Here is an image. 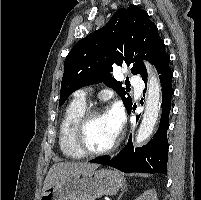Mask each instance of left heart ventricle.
<instances>
[{
    "label": "left heart ventricle",
    "mask_w": 201,
    "mask_h": 200,
    "mask_svg": "<svg viewBox=\"0 0 201 200\" xmlns=\"http://www.w3.org/2000/svg\"><path fill=\"white\" fill-rule=\"evenodd\" d=\"M116 137L106 114L92 117L85 127L84 142L92 150H99L109 146Z\"/></svg>",
    "instance_id": "left-heart-ventricle-1"
}]
</instances>
